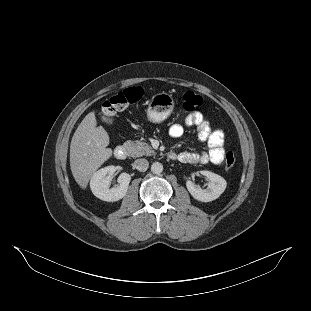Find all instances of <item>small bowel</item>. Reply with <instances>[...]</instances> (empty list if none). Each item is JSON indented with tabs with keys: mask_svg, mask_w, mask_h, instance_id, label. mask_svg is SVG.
<instances>
[{
	"mask_svg": "<svg viewBox=\"0 0 311 311\" xmlns=\"http://www.w3.org/2000/svg\"><path fill=\"white\" fill-rule=\"evenodd\" d=\"M184 125L187 127H195L198 131V137L206 143L207 150L202 152H181L176 155L182 163L190 165L198 164H220L223 161L225 153L224 133L220 129H212L204 115L200 112L190 114L186 117ZM184 125L180 123L173 124L169 129L172 138H179L184 133Z\"/></svg>",
	"mask_w": 311,
	"mask_h": 311,
	"instance_id": "obj_1",
	"label": "small bowel"
}]
</instances>
